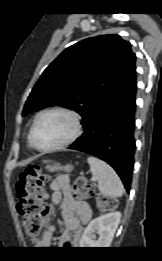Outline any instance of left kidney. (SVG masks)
Masks as SVG:
<instances>
[{
    "label": "left kidney",
    "instance_id": "left-kidney-1",
    "mask_svg": "<svg viewBox=\"0 0 162 261\" xmlns=\"http://www.w3.org/2000/svg\"><path fill=\"white\" fill-rule=\"evenodd\" d=\"M121 213L112 211L93 219L84 229L79 241L81 248H107L110 246L116 229L120 223ZM99 238L96 240V235Z\"/></svg>",
    "mask_w": 162,
    "mask_h": 261
}]
</instances>
